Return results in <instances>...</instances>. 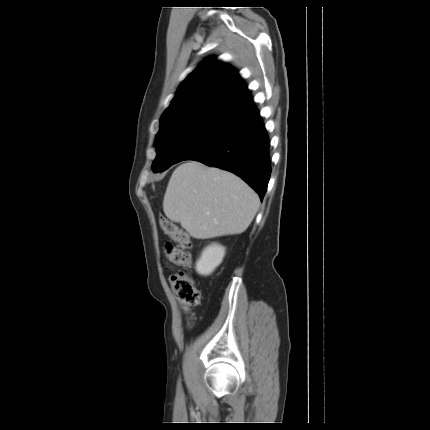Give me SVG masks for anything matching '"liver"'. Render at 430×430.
Here are the masks:
<instances>
[{"instance_id":"liver-1","label":"liver","mask_w":430,"mask_h":430,"mask_svg":"<svg viewBox=\"0 0 430 430\" xmlns=\"http://www.w3.org/2000/svg\"><path fill=\"white\" fill-rule=\"evenodd\" d=\"M259 205L258 195L240 177L192 160L172 173L163 211L193 238L208 239L241 234Z\"/></svg>"}]
</instances>
